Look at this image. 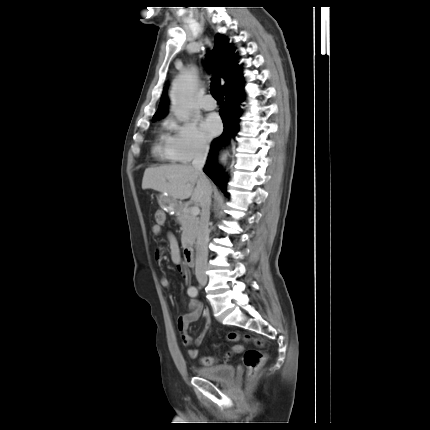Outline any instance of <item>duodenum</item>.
Here are the masks:
<instances>
[{"instance_id": "obj_1", "label": "duodenum", "mask_w": 430, "mask_h": 430, "mask_svg": "<svg viewBox=\"0 0 430 430\" xmlns=\"http://www.w3.org/2000/svg\"><path fill=\"white\" fill-rule=\"evenodd\" d=\"M184 261L187 266L193 267L195 264V252L191 245H187L183 250Z\"/></svg>"}]
</instances>
